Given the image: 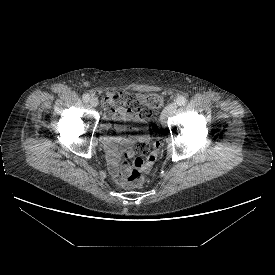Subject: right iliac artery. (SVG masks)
<instances>
[{
  "label": "right iliac artery",
  "mask_w": 275,
  "mask_h": 275,
  "mask_svg": "<svg viewBox=\"0 0 275 275\" xmlns=\"http://www.w3.org/2000/svg\"><path fill=\"white\" fill-rule=\"evenodd\" d=\"M82 98H83L84 102H88L90 100L89 94H84Z\"/></svg>",
  "instance_id": "1"
}]
</instances>
